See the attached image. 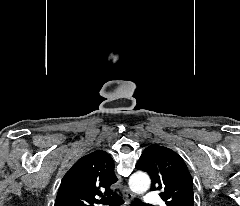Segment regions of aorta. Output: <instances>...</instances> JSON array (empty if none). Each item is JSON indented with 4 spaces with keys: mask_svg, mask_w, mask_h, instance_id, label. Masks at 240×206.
Here are the masks:
<instances>
[{
    "mask_svg": "<svg viewBox=\"0 0 240 206\" xmlns=\"http://www.w3.org/2000/svg\"><path fill=\"white\" fill-rule=\"evenodd\" d=\"M150 178L144 172H136L129 178L130 189L138 194L146 192L150 187Z\"/></svg>",
    "mask_w": 240,
    "mask_h": 206,
    "instance_id": "762f6f07",
    "label": "aorta"
}]
</instances>
